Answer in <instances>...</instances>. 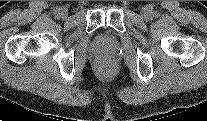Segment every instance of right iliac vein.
<instances>
[{
  "label": "right iliac vein",
  "instance_id": "1",
  "mask_svg": "<svg viewBox=\"0 0 207 121\" xmlns=\"http://www.w3.org/2000/svg\"><path fill=\"white\" fill-rule=\"evenodd\" d=\"M59 15L62 17V18H66L68 16V11L65 9V8H61L60 9V13Z\"/></svg>",
  "mask_w": 207,
  "mask_h": 121
}]
</instances>
